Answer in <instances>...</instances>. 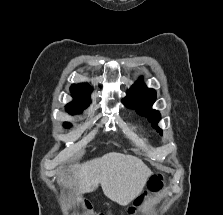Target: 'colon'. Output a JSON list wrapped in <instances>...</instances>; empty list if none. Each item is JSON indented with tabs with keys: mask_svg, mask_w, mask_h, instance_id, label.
<instances>
[{
	"mask_svg": "<svg viewBox=\"0 0 223 215\" xmlns=\"http://www.w3.org/2000/svg\"><path fill=\"white\" fill-rule=\"evenodd\" d=\"M163 186V177L162 175H154L151 177L150 181H149V184H148V188L149 190L151 191H155V190H159L161 187ZM142 201V198H139L135 205H139ZM85 213L84 215H104L103 213H100V212H95L91 209L90 206H85ZM134 208H132L130 210V212H134Z\"/></svg>",
	"mask_w": 223,
	"mask_h": 215,
	"instance_id": "colon-1",
	"label": "colon"
}]
</instances>
